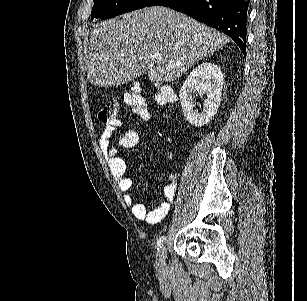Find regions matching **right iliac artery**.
I'll use <instances>...</instances> for the list:
<instances>
[{
    "instance_id": "right-iliac-artery-1",
    "label": "right iliac artery",
    "mask_w": 307,
    "mask_h": 301,
    "mask_svg": "<svg viewBox=\"0 0 307 301\" xmlns=\"http://www.w3.org/2000/svg\"><path fill=\"white\" fill-rule=\"evenodd\" d=\"M166 237L165 236H161L158 241H157V249H159V247H161L163 245V243L165 242Z\"/></svg>"
}]
</instances>
